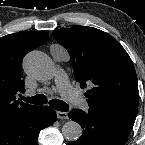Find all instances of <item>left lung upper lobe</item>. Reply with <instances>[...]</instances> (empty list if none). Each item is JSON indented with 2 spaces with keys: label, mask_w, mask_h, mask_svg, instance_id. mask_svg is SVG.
Returning <instances> with one entry per match:
<instances>
[{
  "label": "left lung upper lobe",
  "mask_w": 145,
  "mask_h": 145,
  "mask_svg": "<svg viewBox=\"0 0 145 145\" xmlns=\"http://www.w3.org/2000/svg\"><path fill=\"white\" fill-rule=\"evenodd\" d=\"M70 54L76 80L86 91L90 108L138 109L139 91L133 63L111 35L74 26L53 31Z\"/></svg>",
  "instance_id": "1"
}]
</instances>
